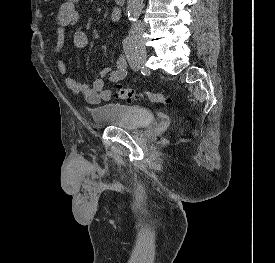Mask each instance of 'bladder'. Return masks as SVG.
<instances>
[{
    "mask_svg": "<svg viewBox=\"0 0 275 263\" xmlns=\"http://www.w3.org/2000/svg\"><path fill=\"white\" fill-rule=\"evenodd\" d=\"M92 118L98 126H120L125 129H136L155 121L153 111L148 108L110 103L94 108Z\"/></svg>",
    "mask_w": 275,
    "mask_h": 263,
    "instance_id": "bladder-1",
    "label": "bladder"
}]
</instances>
